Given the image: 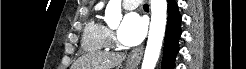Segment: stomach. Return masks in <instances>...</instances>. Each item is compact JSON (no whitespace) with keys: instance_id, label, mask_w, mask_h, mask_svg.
Instances as JSON below:
<instances>
[{"instance_id":"obj_1","label":"stomach","mask_w":246,"mask_h":69,"mask_svg":"<svg viewBox=\"0 0 246 69\" xmlns=\"http://www.w3.org/2000/svg\"><path fill=\"white\" fill-rule=\"evenodd\" d=\"M137 64L136 63H127L126 69H136Z\"/></svg>"}]
</instances>
